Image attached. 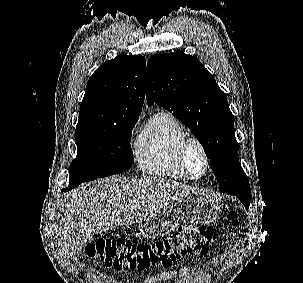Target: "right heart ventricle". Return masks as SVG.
Listing matches in <instances>:
<instances>
[{
    "mask_svg": "<svg viewBox=\"0 0 303 283\" xmlns=\"http://www.w3.org/2000/svg\"><path fill=\"white\" fill-rule=\"evenodd\" d=\"M185 137L187 132L175 116L167 112L155 113L136 144L140 170L172 180H188L178 158V149Z\"/></svg>",
    "mask_w": 303,
    "mask_h": 283,
    "instance_id": "1",
    "label": "right heart ventricle"
}]
</instances>
